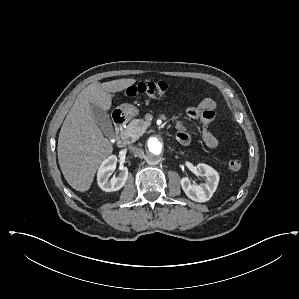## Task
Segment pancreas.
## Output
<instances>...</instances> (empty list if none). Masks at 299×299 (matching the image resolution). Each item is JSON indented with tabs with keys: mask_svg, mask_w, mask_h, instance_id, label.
<instances>
[{
	"mask_svg": "<svg viewBox=\"0 0 299 299\" xmlns=\"http://www.w3.org/2000/svg\"><path fill=\"white\" fill-rule=\"evenodd\" d=\"M147 128V123L142 119L132 120L126 129L123 131L122 135L127 140L128 143L135 142L140 136L143 135Z\"/></svg>",
	"mask_w": 299,
	"mask_h": 299,
	"instance_id": "pancreas-1",
	"label": "pancreas"
}]
</instances>
